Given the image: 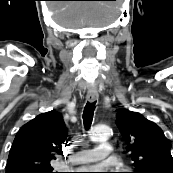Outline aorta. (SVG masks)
<instances>
[{"label":"aorta","mask_w":173,"mask_h":173,"mask_svg":"<svg viewBox=\"0 0 173 173\" xmlns=\"http://www.w3.org/2000/svg\"><path fill=\"white\" fill-rule=\"evenodd\" d=\"M111 134V129L108 126H96L91 131V138L95 141L107 139Z\"/></svg>","instance_id":"762f6f07"}]
</instances>
